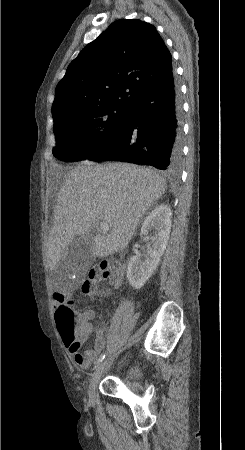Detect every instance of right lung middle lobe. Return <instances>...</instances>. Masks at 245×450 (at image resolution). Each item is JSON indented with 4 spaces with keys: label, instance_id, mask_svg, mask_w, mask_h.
Here are the masks:
<instances>
[{
    "label": "right lung middle lobe",
    "instance_id": "obj_1",
    "mask_svg": "<svg viewBox=\"0 0 245 450\" xmlns=\"http://www.w3.org/2000/svg\"><path fill=\"white\" fill-rule=\"evenodd\" d=\"M129 107L117 104L76 112H52L57 141L53 155L65 162H74L103 151L125 128Z\"/></svg>",
    "mask_w": 245,
    "mask_h": 450
}]
</instances>
